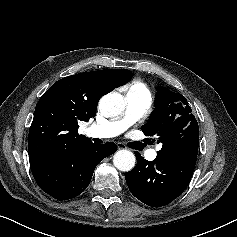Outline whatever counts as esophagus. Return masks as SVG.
<instances>
[{
    "label": "esophagus",
    "mask_w": 237,
    "mask_h": 237,
    "mask_svg": "<svg viewBox=\"0 0 237 237\" xmlns=\"http://www.w3.org/2000/svg\"><path fill=\"white\" fill-rule=\"evenodd\" d=\"M117 147H118L119 150H121V149H127V146H126L124 143H121V142H118V143H117Z\"/></svg>",
    "instance_id": "esophagus-1"
}]
</instances>
